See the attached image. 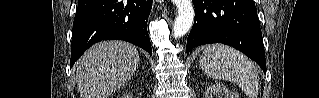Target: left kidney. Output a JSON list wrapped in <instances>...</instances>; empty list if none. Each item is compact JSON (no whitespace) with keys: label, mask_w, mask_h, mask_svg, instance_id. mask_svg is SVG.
<instances>
[{"label":"left kidney","mask_w":319,"mask_h":98,"mask_svg":"<svg viewBox=\"0 0 319 98\" xmlns=\"http://www.w3.org/2000/svg\"><path fill=\"white\" fill-rule=\"evenodd\" d=\"M239 98L238 94L228 90L225 86L214 84L205 92V98Z\"/></svg>","instance_id":"5707ae66"}]
</instances>
